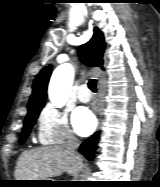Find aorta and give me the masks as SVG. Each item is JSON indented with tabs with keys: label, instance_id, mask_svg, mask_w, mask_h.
I'll list each match as a JSON object with an SVG mask.
<instances>
[{
	"label": "aorta",
	"instance_id": "1",
	"mask_svg": "<svg viewBox=\"0 0 160 187\" xmlns=\"http://www.w3.org/2000/svg\"><path fill=\"white\" fill-rule=\"evenodd\" d=\"M74 79V69L70 64L58 66L51 77L48 95L55 107H62L69 98Z\"/></svg>",
	"mask_w": 160,
	"mask_h": 187
}]
</instances>
